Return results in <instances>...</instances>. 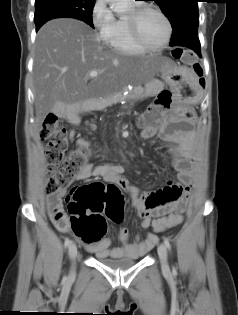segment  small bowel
<instances>
[{
	"label": "small bowel",
	"mask_w": 238,
	"mask_h": 315,
	"mask_svg": "<svg viewBox=\"0 0 238 315\" xmlns=\"http://www.w3.org/2000/svg\"><path fill=\"white\" fill-rule=\"evenodd\" d=\"M156 131L154 128L144 129L141 135L144 139H150L155 135ZM159 133L164 141L176 143V146L170 152L173 157V167L177 171L178 183H169L164 189L148 194L130 186L127 179L123 176L124 168L117 163L96 166L87 163L77 174L76 180L86 181L93 177H100L107 182L118 184L131 197L132 205L141 219L143 228H148L152 218H156V216H174L176 221L169 223L165 227L167 230L177 226L182 221V212L192 188V136L167 128L159 129ZM83 143L85 142L82 139L76 140L77 146ZM64 195L65 192L63 190L54 195H48V213L53 224L60 232L76 235V233L72 232L68 223L70 216L64 213L62 209V198ZM119 238L122 244L115 248L110 247V239L106 237L95 243H84V245L87 250L95 253L100 258H139L153 248L158 241L154 232H148L144 239L137 237L134 241H131L130 233L126 228L119 230Z\"/></svg>",
	"instance_id": "small-bowel-1"
}]
</instances>
